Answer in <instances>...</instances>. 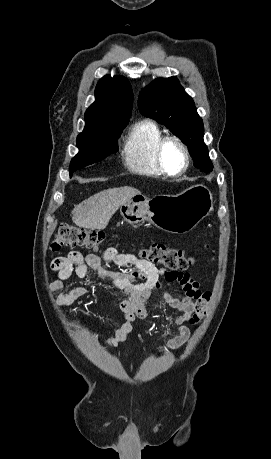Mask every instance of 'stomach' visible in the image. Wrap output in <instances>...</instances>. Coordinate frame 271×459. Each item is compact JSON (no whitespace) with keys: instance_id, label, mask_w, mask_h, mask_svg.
<instances>
[{"instance_id":"1","label":"stomach","mask_w":271,"mask_h":459,"mask_svg":"<svg viewBox=\"0 0 271 459\" xmlns=\"http://www.w3.org/2000/svg\"><path fill=\"white\" fill-rule=\"evenodd\" d=\"M213 210V196L206 186H192L177 196H132L120 206L125 222L136 226L150 222L169 233H187Z\"/></svg>"}]
</instances>
